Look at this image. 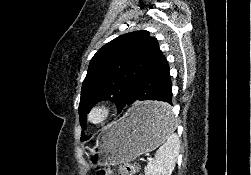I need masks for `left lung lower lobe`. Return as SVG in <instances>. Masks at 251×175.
Here are the masks:
<instances>
[{
  "label": "left lung lower lobe",
  "instance_id": "1",
  "mask_svg": "<svg viewBox=\"0 0 251 175\" xmlns=\"http://www.w3.org/2000/svg\"><path fill=\"white\" fill-rule=\"evenodd\" d=\"M156 100L164 103L154 105H133L136 101ZM172 83L166 57L146 73L133 88L126 103L118 106L119 112L128 111L137 120L162 122L171 117Z\"/></svg>",
  "mask_w": 251,
  "mask_h": 175
}]
</instances>
